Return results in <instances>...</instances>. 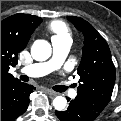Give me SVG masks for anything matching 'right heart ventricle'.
<instances>
[{"instance_id": "right-heart-ventricle-1", "label": "right heart ventricle", "mask_w": 121, "mask_h": 121, "mask_svg": "<svg viewBox=\"0 0 121 121\" xmlns=\"http://www.w3.org/2000/svg\"><path fill=\"white\" fill-rule=\"evenodd\" d=\"M49 30L54 33V39L70 38V33L67 26L60 21H55L49 26Z\"/></svg>"}]
</instances>
